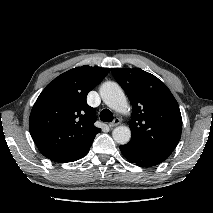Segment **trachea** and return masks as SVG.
Here are the masks:
<instances>
[{"label": "trachea", "instance_id": "obj_1", "mask_svg": "<svg viewBox=\"0 0 213 213\" xmlns=\"http://www.w3.org/2000/svg\"><path fill=\"white\" fill-rule=\"evenodd\" d=\"M100 119L103 122H111L113 120V114H112V112L110 110L104 109L100 113Z\"/></svg>", "mask_w": 213, "mask_h": 213}]
</instances>
